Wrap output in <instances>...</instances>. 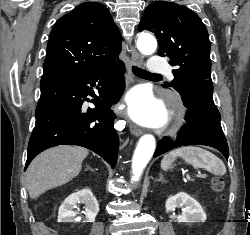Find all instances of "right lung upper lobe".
<instances>
[{"label": "right lung upper lobe", "instance_id": "cb5924a9", "mask_svg": "<svg viewBox=\"0 0 250 235\" xmlns=\"http://www.w3.org/2000/svg\"><path fill=\"white\" fill-rule=\"evenodd\" d=\"M121 41L104 5L98 2L78 5L62 16L50 33L41 83L74 77L116 60Z\"/></svg>", "mask_w": 250, "mask_h": 235}]
</instances>
